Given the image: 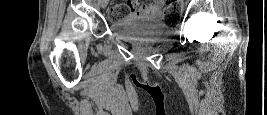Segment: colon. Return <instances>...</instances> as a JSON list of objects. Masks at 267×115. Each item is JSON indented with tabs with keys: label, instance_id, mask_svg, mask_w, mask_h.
Returning a JSON list of instances; mask_svg holds the SVG:
<instances>
[{
	"label": "colon",
	"instance_id": "colon-1",
	"mask_svg": "<svg viewBox=\"0 0 267 115\" xmlns=\"http://www.w3.org/2000/svg\"><path fill=\"white\" fill-rule=\"evenodd\" d=\"M182 0H171L165 2L164 15L167 21H176L181 16ZM131 4H115L108 11V18L111 21L123 19L127 14L131 13Z\"/></svg>",
	"mask_w": 267,
	"mask_h": 115
}]
</instances>
